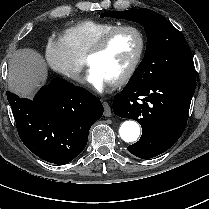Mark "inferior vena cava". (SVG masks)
I'll return each instance as SVG.
<instances>
[{
	"label": "inferior vena cava",
	"instance_id": "inferior-vena-cava-1",
	"mask_svg": "<svg viewBox=\"0 0 209 209\" xmlns=\"http://www.w3.org/2000/svg\"><path fill=\"white\" fill-rule=\"evenodd\" d=\"M75 79L78 80V81H80V77L79 76H76Z\"/></svg>",
	"mask_w": 209,
	"mask_h": 209
}]
</instances>
